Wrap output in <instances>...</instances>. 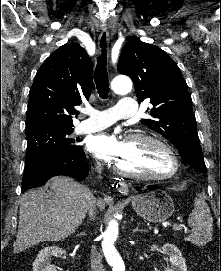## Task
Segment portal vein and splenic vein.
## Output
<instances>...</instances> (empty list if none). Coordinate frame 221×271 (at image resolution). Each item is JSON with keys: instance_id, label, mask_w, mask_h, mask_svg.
<instances>
[{"instance_id": "1", "label": "portal vein and splenic vein", "mask_w": 221, "mask_h": 271, "mask_svg": "<svg viewBox=\"0 0 221 271\" xmlns=\"http://www.w3.org/2000/svg\"><path fill=\"white\" fill-rule=\"evenodd\" d=\"M180 227H182V225H177V223H174L173 225L174 231H176V229H180Z\"/></svg>"}]
</instances>
